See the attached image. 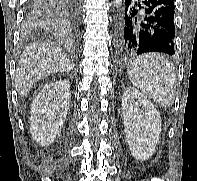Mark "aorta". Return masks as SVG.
<instances>
[{"label": "aorta", "instance_id": "1", "mask_svg": "<svg viewBox=\"0 0 197 181\" xmlns=\"http://www.w3.org/2000/svg\"><path fill=\"white\" fill-rule=\"evenodd\" d=\"M122 1L123 0H114V6H116L117 8L121 7Z\"/></svg>", "mask_w": 197, "mask_h": 181}]
</instances>
